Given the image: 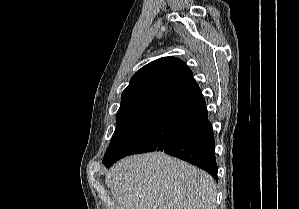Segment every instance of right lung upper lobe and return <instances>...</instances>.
Instances as JSON below:
<instances>
[{
    "instance_id": "cb5924a9",
    "label": "right lung upper lobe",
    "mask_w": 299,
    "mask_h": 209,
    "mask_svg": "<svg viewBox=\"0 0 299 209\" xmlns=\"http://www.w3.org/2000/svg\"><path fill=\"white\" fill-rule=\"evenodd\" d=\"M192 80V71L182 60L162 57L145 65L133 75L122 93L120 106L142 102L161 104Z\"/></svg>"
}]
</instances>
